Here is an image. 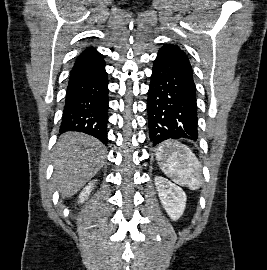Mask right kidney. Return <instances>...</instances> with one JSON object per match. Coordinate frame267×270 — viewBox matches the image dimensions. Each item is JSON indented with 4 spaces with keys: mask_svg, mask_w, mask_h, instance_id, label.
<instances>
[{
    "mask_svg": "<svg viewBox=\"0 0 267 270\" xmlns=\"http://www.w3.org/2000/svg\"><path fill=\"white\" fill-rule=\"evenodd\" d=\"M94 188V182H90L88 186H86L83 191L79 195V203H83L88 196L90 195L92 189Z\"/></svg>",
    "mask_w": 267,
    "mask_h": 270,
    "instance_id": "right-kidney-1",
    "label": "right kidney"
}]
</instances>
